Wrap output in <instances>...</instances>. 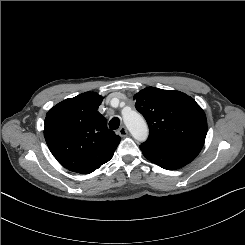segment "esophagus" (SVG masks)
<instances>
[{
  "mask_svg": "<svg viewBox=\"0 0 245 245\" xmlns=\"http://www.w3.org/2000/svg\"><path fill=\"white\" fill-rule=\"evenodd\" d=\"M121 137H125L128 135V130L125 126H121L119 129H118V132H117Z\"/></svg>",
  "mask_w": 245,
  "mask_h": 245,
  "instance_id": "1",
  "label": "esophagus"
}]
</instances>
